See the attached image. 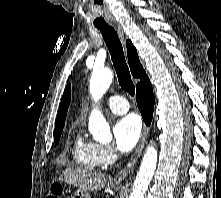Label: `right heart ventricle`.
I'll list each match as a JSON object with an SVG mask.
<instances>
[{"mask_svg":"<svg viewBox=\"0 0 221 198\" xmlns=\"http://www.w3.org/2000/svg\"><path fill=\"white\" fill-rule=\"evenodd\" d=\"M71 154L73 161L81 168L92 170L101 165L97 144L86 140L81 133H78L72 141Z\"/></svg>","mask_w":221,"mask_h":198,"instance_id":"right-heart-ventricle-1","label":"right heart ventricle"}]
</instances>
